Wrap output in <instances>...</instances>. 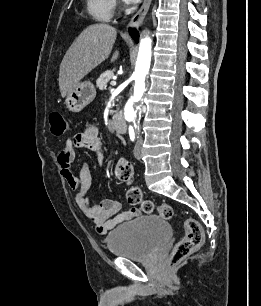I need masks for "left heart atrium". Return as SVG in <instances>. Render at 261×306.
<instances>
[{
  "label": "left heart atrium",
  "mask_w": 261,
  "mask_h": 306,
  "mask_svg": "<svg viewBox=\"0 0 261 306\" xmlns=\"http://www.w3.org/2000/svg\"><path fill=\"white\" fill-rule=\"evenodd\" d=\"M123 1H125L126 3H129V4H132V3L138 2L139 0H123Z\"/></svg>",
  "instance_id": "39dd6f15"
}]
</instances>
